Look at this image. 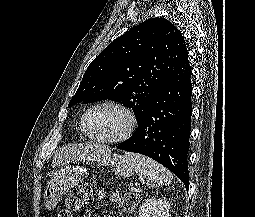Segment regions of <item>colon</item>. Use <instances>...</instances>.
Masks as SVG:
<instances>
[{
    "label": "colon",
    "instance_id": "colon-1",
    "mask_svg": "<svg viewBox=\"0 0 255 217\" xmlns=\"http://www.w3.org/2000/svg\"><path fill=\"white\" fill-rule=\"evenodd\" d=\"M94 193L90 185H82L70 191L65 199V206L59 212L57 217H74L73 213L80 210L85 204L93 201ZM110 200L116 203L125 213L134 212L137 206V196L134 193L112 192Z\"/></svg>",
    "mask_w": 255,
    "mask_h": 217
}]
</instances>
